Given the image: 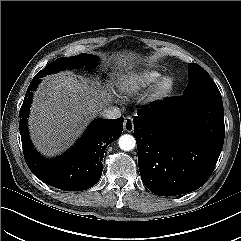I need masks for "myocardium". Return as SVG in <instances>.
I'll use <instances>...</instances> for the list:
<instances>
[{
  "label": "myocardium",
  "mask_w": 241,
  "mask_h": 241,
  "mask_svg": "<svg viewBox=\"0 0 241 241\" xmlns=\"http://www.w3.org/2000/svg\"><path fill=\"white\" fill-rule=\"evenodd\" d=\"M174 81L169 76L160 77L150 89L148 99L150 102H159L171 95Z\"/></svg>",
  "instance_id": "myocardium-1"
}]
</instances>
